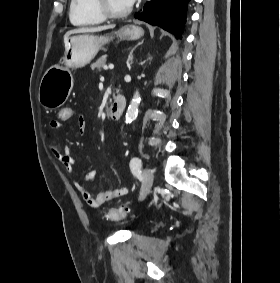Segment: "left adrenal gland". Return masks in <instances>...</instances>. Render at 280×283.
<instances>
[{
	"label": "left adrenal gland",
	"instance_id": "a2214340",
	"mask_svg": "<svg viewBox=\"0 0 280 283\" xmlns=\"http://www.w3.org/2000/svg\"><path fill=\"white\" fill-rule=\"evenodd\" d=\"M133 51L134 50L131 51V53L129 55V59H128V61H131V63H132V60H133Z\"/></svg>",
	"mask_w": 280,
	"mask_h": 283
}]
</instances>
